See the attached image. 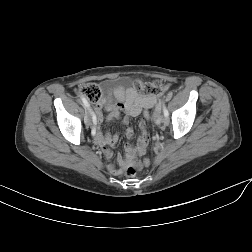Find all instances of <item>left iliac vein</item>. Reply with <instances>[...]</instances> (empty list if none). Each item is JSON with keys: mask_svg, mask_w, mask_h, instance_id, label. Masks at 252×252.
<instances>
[{"mask_svg": "<svg viewBox=\"0 0 252 252\" xmlns=\"http://www.w3.org/2000/svg\"><path fill=\"white\" fill-rule=\"evenodd\" d=\"M160 109H161V107L158 105L156 108L155 116H154V122L157 125L166 121V119L160 114Z\"/></svg>", "mask_w": 252, "mask_h": 252, "instance_id": "obj_1", "label": "left iliac vein"}]
</instances>
